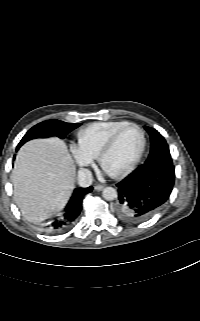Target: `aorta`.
Wrapping results in <instances>:
<instances>
[{
    "label": "aorta",
    "instance_id": "aorta-1",
    "mask_svg": "<svg viewBox=\"0 0 200 321\" xmlns=\"http://www.w3.org/2000/svg\"><path fill=\"white\" fill-rule=\"evenodd\" d=\"M103 198L105 200L111 201L117 198V191L113 187H106L103 190Z\"/></svg>",
    "mask_w": 200,
    "mask_h": 321
}]
</instances>
